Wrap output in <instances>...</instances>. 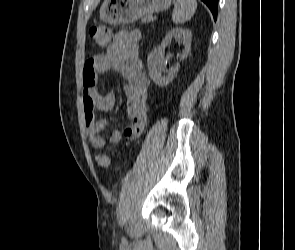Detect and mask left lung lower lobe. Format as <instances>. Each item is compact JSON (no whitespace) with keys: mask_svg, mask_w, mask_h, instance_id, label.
Here are the masks:
<instances>
[{"mask_svg":"<svg viewBox=\"0 0 295 250\" xmlns=\"http://www.w3.org/2000/svg\"><path fill=\"white\" fill-rule=\"evenodd\" d=\"M208 8L211 10L214 19L217 18V6H218V0H202Z\"/></svg>","mask_w":295,"mask_h":250,"instance_id":"obj_1","label":"left lung lower lobe"}]
</instances>
